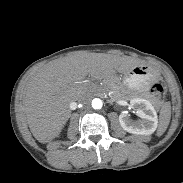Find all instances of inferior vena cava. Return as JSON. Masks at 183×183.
<instances>
[{"label": "inferior vena cava", "mask_w": 183, "mask_h": 183, "mask_svg": "<svg viewBox=\"0 0 183 183\" xmlns=\"http://www.w3.org/2000/svg\"><path fill=\"white\" fill-rule=\"evenodd\" d=\"M78 101L85 104V103L88 102V97L87 96H82L78 99Z\"/></svg>", "instance_id": "inferior-vena-cava-1"}]
</instances>
